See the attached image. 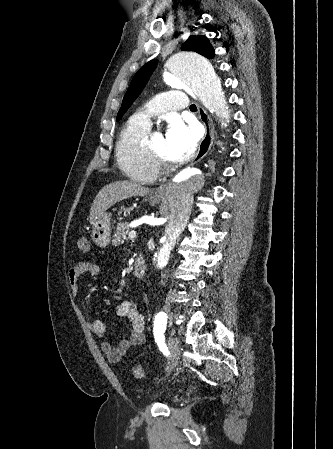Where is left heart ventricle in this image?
<instances>
[{"label": "left heart ventricle", "instance_id": "left-heart-ventricle-1", "mask_svg": "<svg viewBox=\"0 0 333 449\" xmlns=\"http://www.w3.org/2000/svg\"><path fill=\"white\" fill-rule=\"evenodd\" d=\"M149 147L159 156H162L166 159L168 158L167 147L165 137L158 136L156 137L149 145Z\"/></svg>", "mask_w": 333, "mask_h": 449}]
</instances>
